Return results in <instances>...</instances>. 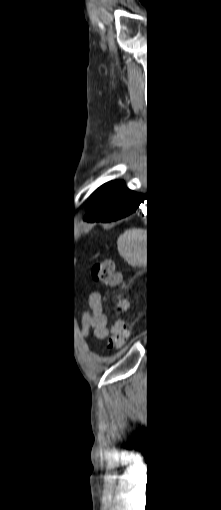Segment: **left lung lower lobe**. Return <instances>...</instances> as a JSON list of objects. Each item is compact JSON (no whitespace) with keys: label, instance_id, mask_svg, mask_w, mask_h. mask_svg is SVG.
<instances>
[{"label":"left lung lower lobe","instance_id":"1","mask_svg":"<svg viewBox=\"0 0 221 510\" xmlns=\"http://www.w3.org/2000/svg\"><path fill=\"white\" fill-rule=\"evenodd\" d=\"M143 202L144 198L141 194L125 188L107 205L99 209L89 211V213L85 215L84 219L89 222L116 221L136 212Z\"/></svg>","mask_w":221,"mask_h":510}]
</instances>
